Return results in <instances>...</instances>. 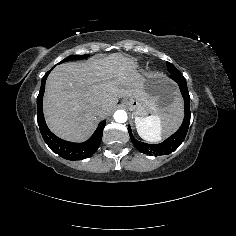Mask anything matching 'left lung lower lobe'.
Returning a JSON list of instances; mask_svg holds the SVG:
<instances>
[{
	"instance_id": "left-lung-lower-lobe-1",
	"label": "left lung lower lobe",
	"mask_w": 236,
	"mask_h": 236,
	"mask_svg": "<svg viewBox=\"0 0 236 236\" xmlns=\"http://www.w3.org/2000/svg\"><path fill=\"white\" fill-rule=\"evenodd\" d=\"M166 64L168 67V71L170 72V78L177 82L182 93L185 104V116L180 128L172 136H170L168 139H166L160 144H147L136 140L132 135L130 126H128L129 135L134 146L140 152L150 156L167 155L176 150L185 139L190 124V96L186 80L184 79L181 72H179L174 65L169 62H166Z\"/></svg>"
}]
</instances>
